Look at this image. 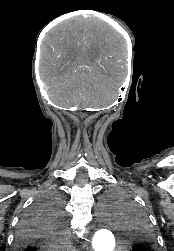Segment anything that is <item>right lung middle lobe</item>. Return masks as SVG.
<instances>
[{
  "mask_svg": "<svg viewBox=\"0 0 174 251\" xmlns=\"http://www.w3.org/2000/svg\"><path fill=\"white\" fill-rule=\"evenodd\" d=\"M33 215L46 216L51 219L58 228H61L64 217L61 195L55 191L41 195L32 207L31 214L28 217Z\"/></svg>",
  "mask_w": 174,
  "mask_h": 251,
  "instance_id": "right-lung-middle-lobe-1",
  "label": "right lung middle lobe"
}]
</instances>
